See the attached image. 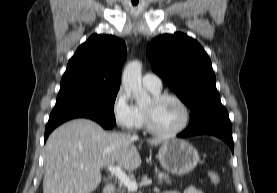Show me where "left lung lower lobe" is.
Returning a JSON list of instances; mask_svg holds the SVG:
<instances>
[{"label": "left lung lower lobe", "instance_id": "obj_1", "mask_svg": "<svg viewBox=\"0 0 277 193\" xmlns=\"http://www.w3.org/2000/svg\"><path fill=\"white\" fill-rule=\"evenodd\" d=\"M202 134L221 138L229 145L232 153L234 152L231 122L226 109L204 115L197 122L189 125L187 130L178 134V137L186 138Z\"/></svg>", "mask_w": 277, "mask_h": 193}]
</instances>
